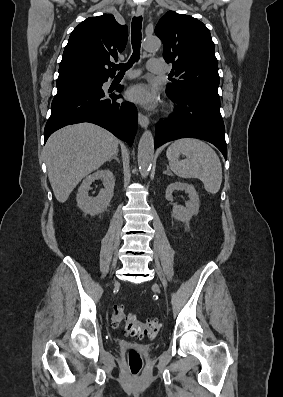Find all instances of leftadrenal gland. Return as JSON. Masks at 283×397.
<instances>
[{
    "mask_svg": "<svg viewBox=\"0 0 283 397\" xmlns=\"http://www.w3.org/2000/svg\"><path fill=\"white\" fill-rule=\"evenodd\" d=\"M163 174L169 175V176H173V174L171 173V171L169 170V167L167 166V170L163 172Z\"/></svg>",
    "mask_w": 283,
    "mask_h": 397,
    "instance_id": "1",
    "label": "left adrenal gland"
}]
</instances>
